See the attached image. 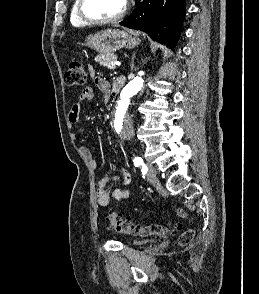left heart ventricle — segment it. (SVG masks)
Masks as SVG:
<instances>
[{
    "instance_id": "b2bd125f",
    "label": "left heart ventricle",
    "mask_w": 259,
    "mask_h": 294,
    "mask_svg": "<svg viewBox=\"0 0 259 294\" xmlns=\"http://www.w3.org/2000/svg\"><path fill=\"white\" fill-rule=\"evenodd\" d=\"M124 7L123 0H86L85 12L92 18L104 19L117 15Z\"/></svg>"
}]
</instances>
